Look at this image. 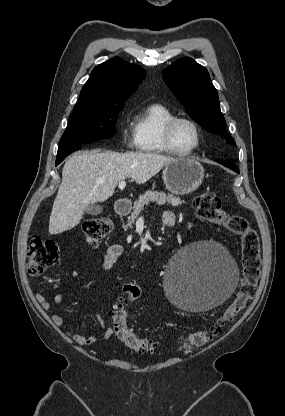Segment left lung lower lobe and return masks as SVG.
<instances>
[{
  "label": "left lung lower lobe",
  "mask_w": 285,
  "mask_h": 416,
  "mask_svg": "<svg viewBox=\"0 0 285 416\" xmlns=\"http://www.w3.org/2000/svg\"><path fill=\"white\" fill-rule=\"evenodd\" d=\"M217 162H218V163H220V164H222V165H224V166H226L227 168H229V169H231V170H233V171L237 172V173H240V172H239V169H238V168L235 166V164H234L233 162H231V161L217 160Z\"/></svg>",
  "instance_id": "obj_1"
}]
</instances>
